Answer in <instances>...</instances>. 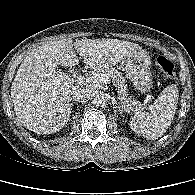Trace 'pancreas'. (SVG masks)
<instances>
[{"label": "pancreas", "mask_w": 195, "mask_h": 195, "mask_svg": "<svg viewBox=\"0 0 195 195\" xmlns=\"http://www.w3.org/2000/svg\"><path fill=\"white\" fill-rule=\"evenodd\" d=\"M102 74L108 76L112 80L113 85L118 90L120 104L125 111L140 110L142 106L140 102L128 98L127 83L121 72L115 70L114 68H101L89 73L88 79H91L95 76L99 77ZM92 86L95 85L92 84Z\"/></svg>", "instance_id": "obj_1"}]
</instances>
